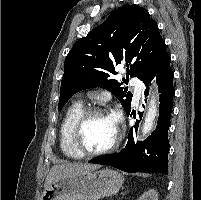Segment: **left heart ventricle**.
Listing matches in <instances>:
<instances>
[{"label": "left heart ventricle", "instance_id": "b2bd125f", "mask_svg": "<svg viewBox=\"0 0 201 200\" xmlns=\"http://www.w3.org/2000/svg\"><path fill=\"white\" fill-rule=\"evenodd\" d=\"M116 133L117 127L111 116H92L82 129V145L92 151L103 149L111 144Z\"/></svg>", "mask_w": 201, "mask_h": 200}]
</instances>
